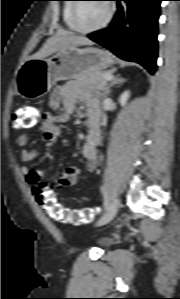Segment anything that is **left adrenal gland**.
I'll list each match as a JSON object with an SVG mask.
<instances>
[{"instance_id":"obj_1","label":"left adrenal gland","mask_w":180,"mask_h":299,"mask_svg":"<svg viewBox=\"0 0 180 299\" xmlns=\"http://www.w3.org/2000/svg\"><path fill=\"white\" fill-rule=\"evenodd\" d=\"M126 81V79H123L120 77V75H117L115 77H113L111 83H110V86L108 87V90H107V95L110 94L111 92V87H113L114 85H121L123 84L124 82Z\"/></svg>"}]
</instances>
